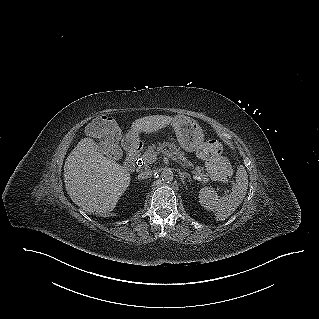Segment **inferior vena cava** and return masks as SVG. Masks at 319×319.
<instances>
[{"label": "inferior vena cava", "instance_id": "inferior-vena-cava-1", "mask_svg": "<svg viewBox=\"0 0 319 319\" xmlns=\"http://www.w3.org/2000/svg\"><path fill=\"white\" fill-rule=\"evenodd\" d=\"M152 175H153V171L147 170V171L141 172L138 175V179L142 180V179L150 178L152 177Z\"/></svg>", "mask_w": 319, "mask_h": 319}]
</instances>
